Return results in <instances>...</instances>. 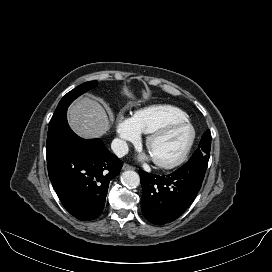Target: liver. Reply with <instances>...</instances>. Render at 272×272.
Masks as SVG:
<instances>
[{"label":"liver","instance_id":"liver-1","mask_svg":"<svg viewBox=\"0 0 272 272\" xmlns=\"http://www.w3.org/2000/svg\"><path fill=\"white\" fill-rule=\"evenodd\" d=\"M68 124L81 138L101 137L111 124L104 108L88 97L75 101L68 109Z\"/></svg>","mask_w":272,"mask_h":272}]
</instances>
